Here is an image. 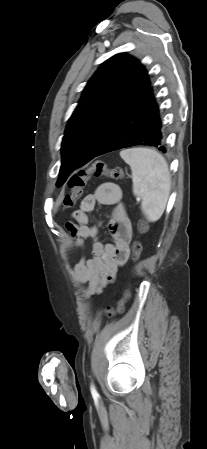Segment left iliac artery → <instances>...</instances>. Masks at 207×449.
Wrapping results in <instances>:
<instances>
[{"label":"left iliac artery","instance_id":"obj_1","mask_svg":"<svg viewBox=\"0 0 207 449\" xmlns=\"http://www.w3.org/2000/svg\"><path fill=\"white\" fill-rule=\"evenodd\" d=\"M90 390L93 397H98V392L93 384H91Z\"/></svg>","mask_w":207,"mask_h":449}]
</instances>
